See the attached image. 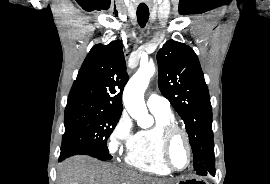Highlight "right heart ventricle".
<instances>
[{"instance_id":"e07e8e85","label":"right heart ventricle","mask_w":270,"mask_h":184,"mask_svg":"<svg viewBox=\"0 0 270 184\" xmlns=\"http://www.w3.org/2000/svg\"><path fill=\"white\" fill-rule=\"evenodd\" d=\"M156 119L153 127L138 131L127 150V165L143 172L166 176L171 171L163 164L160 152V129L163 125L175 122L171 111L152 110Z\"/></svg>"}]
</instances>
